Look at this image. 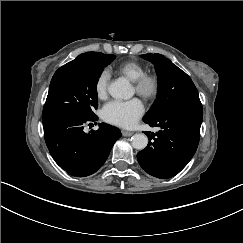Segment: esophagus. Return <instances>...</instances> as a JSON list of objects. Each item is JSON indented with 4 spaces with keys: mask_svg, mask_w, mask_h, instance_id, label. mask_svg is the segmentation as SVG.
<instances>
[{
    "mask_svg": "<svg viewBox=\"0 0 243 243\" xmlns=\"http://www.w3.org/2000/svg\"><path fill=\"white\" fill-rule=\"evenodd\" d=\"M134 133L133 132H129V131H122V135L125 137H130L132 136Z\"/></svg>",
    "mask_w": 243,
    "mask_h": 243,
    "instance_id": "obj_1",
    "label": "esophagus"
}]
</instances>
